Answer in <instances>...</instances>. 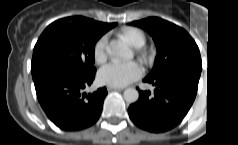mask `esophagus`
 <instances>
[{
  "label": "esophagus",
  "mask_w": 238,
  "mask_h": 145,
  "mask_svg": "<svg viewBox=\"0 0 238 145\" xmlns=\"http://www.w3.org/2000/svg\"><path fill=\"white\" fill-rule=\"evenodd\" d=\"M108 91H122L124 88H118V87H108Z\"/></svg>",
  "instance_id": "esophagus-1"
}]
</instances>
